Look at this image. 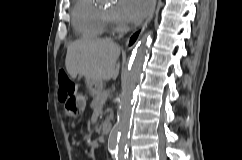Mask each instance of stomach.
I'll use <instances>...</instances> for the list:
<instances>
[{
	"label": "stomach",
	"instance_id": "obj_1",
	"mask_svg": "<svg viewBox=\"0 0 242 160\" xmlns=\"http://www.w3.org/2000/svg\"><path fill=\"white\" fill-rule=\"evenodd\" d=\"M86 86L88 92L92 96H96L99 92L102 91V82L95 80H86Z\"/></svg>",
	"mask_w": 242,
	"mask_h": 160
}]
</instances>
